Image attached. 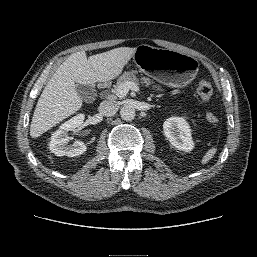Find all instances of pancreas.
Wrapping results in <instances>:
<instances>
[{"label":"pancreas","instance_id":"cf45deb5","mask_svg":"<svg viewBox=\"0 0 257 257\" xmlns=\"http://www.w3.org/2000/svg\"><path fill=\"white\" fill-rule=\"evenodd\" d=\"M137 72L136 71H128L125 72L118 80H117V88L126 83V82H133L135 84H143L146 87H148L151 84V80L147 77H141L140 79L137 78ZM116 88V89H117ZM116 89H114V92L116 93Z\"/></svg>","mask_w":257,"mask_h":257}]
</instances>
